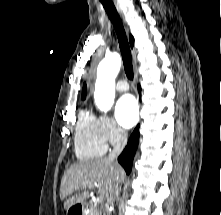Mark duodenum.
Listing matches in <instances>:
<instances>
[{
  "instance_id": "1",
  "label": "duodenum",
  "mask_w": 221,
  "mask_h": 215,
  "mask_svg": "<svg viewBox=\"0 0 221 215\" xmlns=\"http://www.w3.org/2000/svg\"><path fill=\"white\" fill-rule=\"evenodd\" d=\"M83 207L81 205H76L73 208L72 215H82Z\"/></svg>"
}]
</instances>
